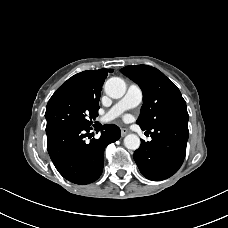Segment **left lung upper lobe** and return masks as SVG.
Listing matches in <instances>:
<instances>
[{
  "mask_svg": "<svg viewBox=\"0 0 228 228\" xmlns=\"http://www.w3.org/2000/svg\"><path fill=\"white\" fill-rule=\"evenodd\" d=\"M121 73L137 83L143 92V105L137 124L152 130L158 125L188 121L186 102L176 85L158 69L148 65L126 66Z\"/></svg>",
  "mask_w": 228,
  "mask_h": 228,
  "instance_id": "5c2ea615",
  "label": "left lung upper lobe"
}]
</instances>
